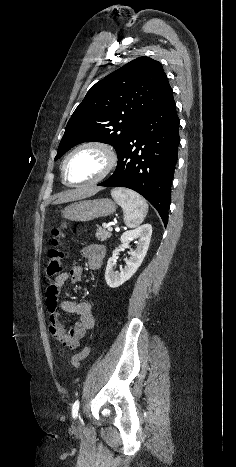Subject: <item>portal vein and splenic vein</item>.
Here are the masks:
<instances>
[{
	"label": "portal vein and splenic vein",
	"instance_id": "obj_1",
	"mask_svg": "<svg viewBox=\"0 0 236 467\" xmlns=\"http://www.w3.org/2000/svg\"><path fill=\"white\" fill-rule=\"evenodd\" d=\"M108 230H109V231H112L113 228H112L111 226H108Z\"/></svg>",
	"mask_w": 236,
	"mask_h": 467
}]
</instances>
